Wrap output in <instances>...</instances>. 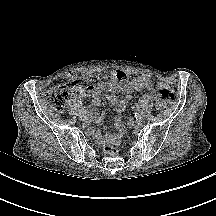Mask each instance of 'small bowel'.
Returning a JSON list of instances; mask_svg holds the SVG:
<instances>
[{
  "label": "small bowel",
  "mask_w": 216,
  "mask_h": 216,
  "mask_svg": "<svg viewBox=\"0 0 216 216\" xmlns=\"http://www.w3.org/2000/svg\"><path fill=\"white\" fill-rule=\"evenodd\" d=\"M88 79L93 82L86 91L83 92L93 106H98L102 98H106L108 102L118 111L122 112L126 104L131 101L132 93L139 90L155 91L156 85L151 77L147 74L138 75L132 79L122 70H113L111 74L99 82L95 76H89ZM124 92V98H118L114 93ZM157 107H161L162 101L158 93L155 94ZM95 123H99L100 119L96 113L92 114ZM117 132L114 134H105L101 139L107 143H117L124 133V126L121 120H116Z\"/></svg>",
  "instance_id": "obj_1"
}]
</instances>
